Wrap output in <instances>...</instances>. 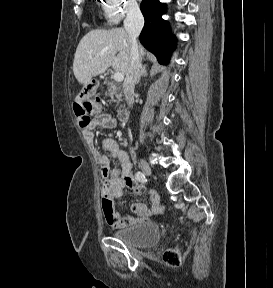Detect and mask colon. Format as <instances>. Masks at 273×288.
Wrapping results in <instances>:
<instances>
[{"mask_svg":"<svg viewBox=\"0 0 273 288\" xmlns=\"http://www.w3.org/2000/svg\"><path fill=\"white\" fill-rule=\"evenodd\" d=\"M101 102L96 100H82L77 99L73 103L74 113L77 117L78 123L85 128L89 125L91 115H96L101 111ZM163 258L166 263L172 266H179L181 263V255L178 249L171 248L164 252Z\"/></svg>","mask_w":273,"mask_h":288,"instance_id":"5ec220e1","label":"colon"}]
</instances>
